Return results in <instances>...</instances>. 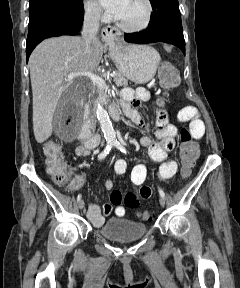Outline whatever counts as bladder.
<instances>
[{
	"label": "bladder",
	"instance_id": "obj_1",
	"mask_svg": "<svg viewBox=\"0 0 240 288\" xmlns=\"http://www.w3.org/2000/svg\"><path fill=\"white\" fill-rule=\"evenodd\" d=\"M99 233L113 241H132L142 238L148 231L145 224L127 219H113L105 223Z\"/></svg>",
	"mask_w": 240,
	"mask_h": 288
}]
</instances>
